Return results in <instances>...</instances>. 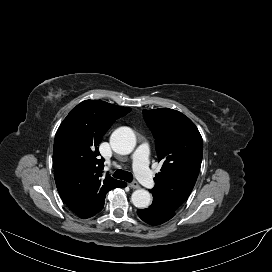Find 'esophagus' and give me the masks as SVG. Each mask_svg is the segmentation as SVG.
<instances>
[{
	"instance_id": "1",
	"label": "esophagus",
	"mask_w": 272,
	"mask_h": 272,
	"mask_svg": "<svg viewBox=\"0 0 272 272\" xmlns=\"http://www.w3.org/2000/svg\"><path fill=\"white\" fill-rule=\"evenodd\" d=\"M130 188L132 189H138L140 186L137 182H131L128 184Z\"/></svg>"
}]
</instances>
